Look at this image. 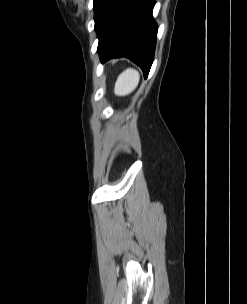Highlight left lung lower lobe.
<instances>
[{
  "label": "left lung lower lobe",
  "instance_id": "0a47b994",
  "mask_svg": "<svg viewBox=\"0 0 247 304\" xmlns=\"http://www.w3.org/2000/svg\"><path fill=\"white\" fill-rule=\"evenodd\" d=\"M155 0H101L95 11L98 53L102 62L127 57L148 76L154 59L157 24Z\"/></svg>",
  "mask_w": 247,
  "mask_h": 304
}]
</instances>
